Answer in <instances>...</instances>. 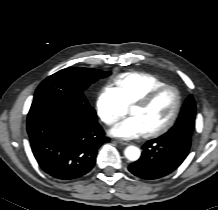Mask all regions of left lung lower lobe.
Wrapping results in <instances>:
<instances>
[{
	"instance_id": "left-lung-lower-lobe-1",
	"label": "left lung lower lobe",
	"mask_w": 218,
	"mask_h": 210,
	"mask_svg": "<svg viewBox=\"0 0 218 210\" xmlns=\"http://www.w3.org/2000/svg\"><path fill=\"white\" fill-rule=\"evenodd\" d=\"M180 137L163 136L147 141L139 160L132 163L129 171L140 178L152 180L164 177L178 168L189 153L191 139L187 134Z\"/></svg>"
}]
</instances>
